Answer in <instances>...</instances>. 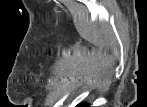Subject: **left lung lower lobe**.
Listing matches in <instances>:
<instances>
[{"label":"left lung lower lobe","instance_id":"1","mask_svg":"<svg viewBox=\"0 0 147 107\" xmlns=\"http://www.w3.org/2000/svg\"><path fill=\"white\" fill-rule=\"evenodd\" d=\"M76 107H91L88 103H80Z\"/></svg>","mask_w":147,"mask_h":107}]
</instances>
